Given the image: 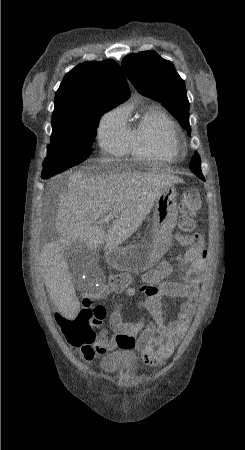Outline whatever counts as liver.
Wrapping results in <instances>:
<instances>
[{"label":"liver","instance_id":"obj_1","mask_svg":"<svg viewBox=\"0 0 245 450\" xmlns=\"http://www.w3.org/2000/svg\"><path fill=\"white\" fill-rule=\"evenodd\" d=\"M182 182L178 176L157 172L70 174L67 188L57 200L56 229L60 238L45 245L39 258L46 289L64 316L73 318L80 308L65 259L67 247L79 242L89 250H97L104 241L105 250L118 247L136 232L161 191ZM110 213L112 224L106 235L100 220Z\"/></svg>","mask_w":245,"mask_h":450}]
</instances>
